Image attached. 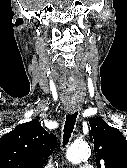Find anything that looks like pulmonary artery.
Returning a JSON list of instances; mask_svg holds the SVG:
<instances>
[{
	"label": "pulmonary artery",
	"mask_w": 127,
	"mask_h": 168,
	"mask_svg": "<svg viewBox=\"0 0 127 168\" xmlns=\"http://www.w3.org/2000/svg\"><path fill=\"white\" fill-rule=\"evenodd\" d=\"M78 168H93V166L85 163V164L80 165Z\"/></svg>",
	"instance_id": "1"
}]
</instances>
